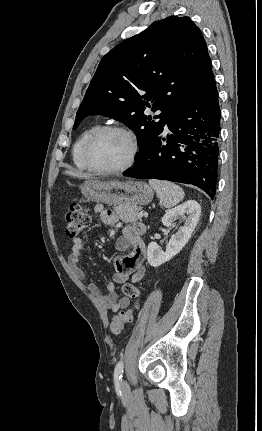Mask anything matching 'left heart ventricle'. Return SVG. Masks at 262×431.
Here are the masks:
<instances>
[{
    "label": "left heart ventricle",
    "instance_id": "1",
    "mask_svg": "<svg viewBox=\"0 0 262 431\" xmlns=\"http://www.w3.org/2000/svg\"><path fill=\"white\" fill-rule=\"evenodd\" d=\"M131 145L126 136L109 132L100 136L93 145L92 159L104 168H116L123 165L129 157Z\"/></svg>",
    "mask_w": 262,
    "mask_h": 431
}]
</instances>
